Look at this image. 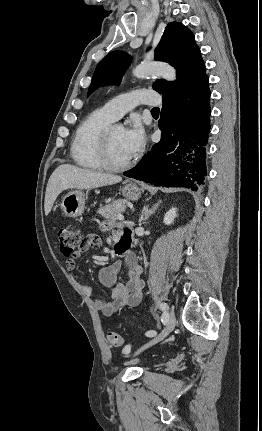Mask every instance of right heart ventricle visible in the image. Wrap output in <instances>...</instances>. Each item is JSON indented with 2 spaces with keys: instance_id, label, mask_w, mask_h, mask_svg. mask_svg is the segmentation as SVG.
Masks as SVG:
<instances>
[{
  "instance_id": "1",
  "label": "right heart ventricle",
  "mask_w": 262,
  "mask_h": 431,
  "mask_svg": "<svg viewBox=\"0 0 262 431\" xmlns=\"http://www.w3.org/2000/svg\"><path fill=\"white\" fill-rule=\"evenodd\" d=\"M114 119L99 108L85 117L75 131L71 144V156L74 162L87 170H101L100 142L103 131Z\"/></svg>"
}]
</instances>
